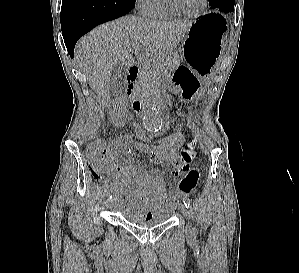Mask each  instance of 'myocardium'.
<instances>
[{
	"label": "myocardium",
	"mask_w": 299,
	"mask_h": 273,
	"mask_svg": "<svg viewBox=\"0 0 299 273\" xmlns=\"http://www.w3.org/2000/svg\"><path fill=\"white\" fill-rule=\"evenodd\" d=\"M166 3L168 5V7L177 15H181V16H184L187 18H196V17H199L200 15H202V13L205 11V9L207 8V5H208V0H203L201 7L197 11L192 12V13L182 10L176 4L175 0H166Z\"/></svg>",
	"instance_id": "f54148a6"
}]
</instances>
